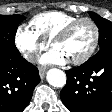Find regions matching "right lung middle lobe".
<instances>
[{
  "instance_id": "right-lung-middle-lobe-1",
  "label": "right lung middle lobe",
  "mask_w": 112,
  "mask_h": 112,
  "mask_svg": "<svg viewBox=\"0 0 112 112\" xmlns=\"http://www.w3.org/2000/svg\"><path fill=\"white\" fill-rule=\"evenodd\" d=\"M24 19L22 15H0V55H20L14 37Z\"/></svg>"
}]
</instances>
